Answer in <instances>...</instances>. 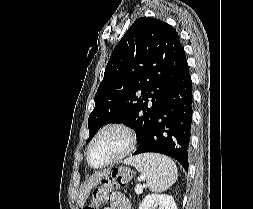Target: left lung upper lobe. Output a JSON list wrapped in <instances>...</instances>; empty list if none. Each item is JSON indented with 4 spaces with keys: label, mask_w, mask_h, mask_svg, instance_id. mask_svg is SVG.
Segmentation results:
<instances>
[{
    "label": "left lung upper lobe",
    "mask_w": 253,
    "mask_h": 209,
    "mask_svg": "<svg viewBox=\"0 0 253 209\" xmlns=\"http://www.w3.org/2000/svg\"><path fill=\"white\" fill-rule=\"evenodd\" d=\"M185 60L179 35L172 26L155 18L137 19L107 63L89 115L86 143L101 126L124 122L135 130L140 147Z\"/></svg>",
    "instance_id": "left-lung-upper-lobe-1"
}]
</instances>
